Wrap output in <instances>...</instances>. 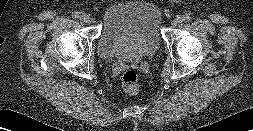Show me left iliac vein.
I'll return each mask as SVG.
<instances>
[{"instance_id":"left-iliac-vein-1","label":"left iliac vein","mask_w":253,"mask_h":131,"mask_svg":"<svg viewBox=\"0 0 253 131\" xmlns=\"http://www.w3.org/2000/svg\"><path fill=\"white\" fill-rule=\"evenodd\" d=\"M181 19L180 18H175L172 20V26H178L181 23Z\"/></svg>"}]
</instances>
